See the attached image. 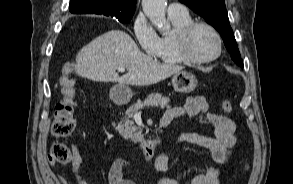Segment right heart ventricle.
<instances>
[{
  "label": "right heart ventricle",
  "mask_w": 293,
  "mask_h": 184,
  "mask_svg": "<svg viewBox=\"0 0 293 184\" xmlns=\"http://www.w3.org/2000/svg\"><path fill=\"white\" fill-rule=\"evenodd\" d=\"M172 23V30L159 37V44L154 57L167 64H181L185 61L178 55L175 45V37L179 30L193 22L192 17L184 15H168Z\"/></svg>",
  "instance_id": "right-heart-ventricle-1"
}]
</instances>
